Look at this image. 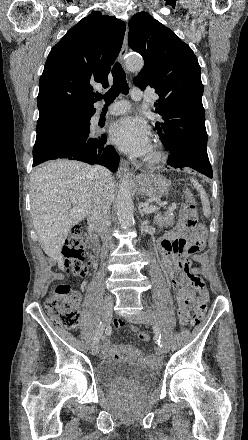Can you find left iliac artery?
<instances>
[{
  "label": "left iliac artery",
  "mask_w": 248,
  "mask_h": 440,
  "mask_svg": "<svg viewBox=\"0 0 248 440\" xmlns=\"http://www.w3.org/2000/svg\"><path fill=\"white\" fill-rule=\"evenodd\" d=\"M155 330L157 331V328H155ZM158 342H159L160 347H162L163 341H162V338H161V334H160Z\"/></svg>",
  "instance_id": "44dca946"
}]
</instances>
